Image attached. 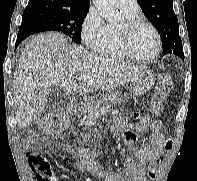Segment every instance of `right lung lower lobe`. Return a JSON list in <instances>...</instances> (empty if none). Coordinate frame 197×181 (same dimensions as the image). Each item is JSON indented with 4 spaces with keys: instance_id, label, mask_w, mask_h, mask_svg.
<instances>
[{
    "instance_id": "obj_1",
    "label": "right lung lower lobe",
    "mask_w": 197,
    "mask_h": 181,
    "mask_svg": "<svg viewBox=\"0 0 197 181\" xmlns=\"http://www.w3.org/2000/svg\"><path fill=\"white\" fill-rule=\"evenodd\" d=\"M39 31L29 27V26H25V25H21L19 32H18V36H17V40H16V44H15V48L18 47V45L28 36L38 33Z\"/></svg>"
}]
</instances>
